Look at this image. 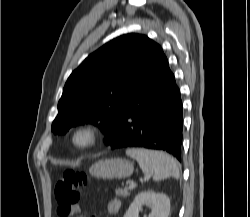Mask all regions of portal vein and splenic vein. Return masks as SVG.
<instances>
[{"instance_id": "obj_1", "label": "portal vein and splenic vein", "mask_w": 250, "mask_h": 217, "mask_svg": "<svg viewBox=\"0 0 250 217\" xmlns=\"http://www.w3.org/2000/svg\"><path fill=\"white\" fill-rule=\"evenodd\" d=\"M135 186H136V184L131 183V184L127 185L125 189H127V190L128 189H133V188H135Z\"/></svg>"}]
</instances>
